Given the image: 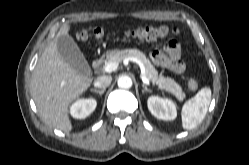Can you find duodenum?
Returning a JSON list of instances; mask_svg holds the SVG:
<instances>
[{
    "label": "duodenum",
    "mask_w": 249,
    "mask_h": 165,
    "mask_svg": "<svg viewBox=\"0 0 249 165\" xmlns=\"http://www.w3.org/2000/svg\"><path fill=\"white\" fill-rule=\"evenodd\" d=\"M103 63H104V57L96 58L92 62V68H93V70L97 71L102 66Z\"/></svg>",
    "instance_id": "1"
}]
</instances>
